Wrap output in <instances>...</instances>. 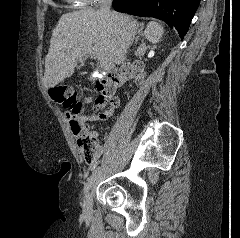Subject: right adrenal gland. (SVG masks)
Instances as JSON below:
<instances>
[{"instance_id":"1","label":"right adrenal gland","mask_w":240,"mask_h":238,"mask_svg":"<svg viewBox=\"0 0 240 238\" xmlns=\"http://www.w3.org/2000/svg\"><path fill=\"white\" fill-rule=\"evenodd\" d=\"M142 29H143V24L140 25V28L137 29V37L135 39V44H137L139 38L142 36Z\"/></svg>"}]
</instances>
